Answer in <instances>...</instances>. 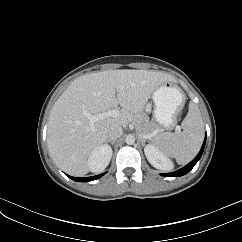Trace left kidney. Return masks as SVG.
Returning <instances> with one entry per match:
<instances>
[{"instance_id":"obj_1","label":"left kidney","mask_w":242,"mask_h":242,"mask_svg":"<svg viewBox=\"0 0 242 242\" xmlns=\"http://www.w3.org/2000/svg\"><path fill=\"white\" fill-rule=\"evenodd\" d=\"M144 153L149 163L156 169L168 171L173 169V162L164 155L155 145L149 144L145 146Z\"/></svg>"}]
</instances>
